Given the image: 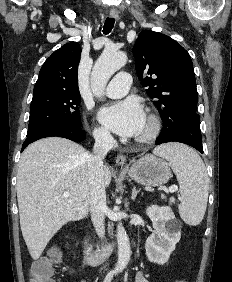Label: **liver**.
I'll return each instance as SVG.
<instances>
[{
	"label": "liver",
	"instance_id": "6515ba94",
	"mask_svg": "<svg viewBox=\"0 0 232 282\" xmlns=\"http://www.w3.org/2000/svg\"><path fill=\"white\" fill-rule=\"evenodd\" d=\"M88 156L81 145L59 137L38 140L22 153L16 186L20 226L34 260L63 225L88 214ZM103 177L108 186L111 171L107 166Z\"/></svg>",
	"mask_w": 232,
	"mask_h": 282
}]
</instances>
